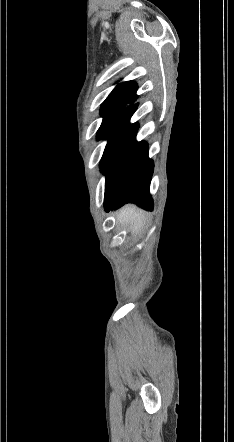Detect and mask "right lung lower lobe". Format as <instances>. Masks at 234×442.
<instances>
[{
	"label": "right lung lower lobe",
	"mask_w": 234,
	"mask_h": 442,
	"mask_svg": "<svg viewBox=\"0 0 234 442\" xmlns=\"http://www.w3.org/2000/svg\"><path fill=\"white\" fill-rule=\"evenodd\" d=\"M138 104L120 112L103 138L108 144L100 162L106 175L105 211L117 209L125 203H135L152 210L150 182L154 164L148 157V144L137 142L138 124H130V117Z\"/></svg>",
	"instance_id": "98d812e1"
}]
</instances>
